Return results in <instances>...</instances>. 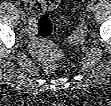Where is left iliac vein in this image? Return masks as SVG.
I'll return each mask as SVG.
<instances>
[{
	"label": "left iliac vein",
	"mask_w": 111,
	"mask_h": 106,
	"mask_svg": "<svg viewBox=\"0 0 111 106\" xmlns=\"http://www.w3.org/2000/svg\"><path fill=\"white\" fill-rule=\"evenodd\" d=\"M87 10L88 11H93L94 10V3H89L88 5H87Z\"/></svg>",
	"instance_id": "left-iliac-vein-1"
}]
</instances>
